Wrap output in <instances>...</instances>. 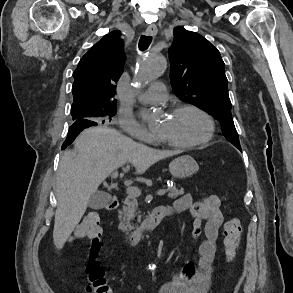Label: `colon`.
Wrapping results in <instances>:
<instances>
[{
	"mask_svg": "<svg viewBox=\"0 0 293 293\" xmlns=\"http://www.w3.org/2000/svg\"><path fill=\"white\" fill-rule=\"evenodd\" d=\"M242 224L238 218L228 220L224 225V253L231 261L239 248ZM100 216L97 212L87 213L77 226L74 237L89 241V251L84 267V281L88 293H112L104 269L99 261L101 244Z\"/></svg>",
	"mask_w": 293,
	"mask_h": 293,
	"instance_id": "5ec220e1",
	"label": "colon"
}]
</instances>
